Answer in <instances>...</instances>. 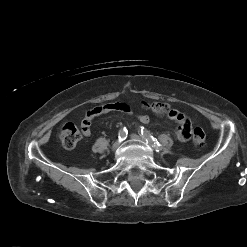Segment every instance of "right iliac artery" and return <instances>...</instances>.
Returning <instances> with one entry per match:
<instances>
[{
  "mask_svg": "<svg viewBox=\"0 0 247 247\" xmlns=\"http://www.w3.org/2000/svg\"><path fill=\"white\" fill-rule=\"evenodd\" d=\"M127 134H128L127 129H126L125 127L121 128V129L119 130V133H118V138H119V140H120V141L125 140L126 137H127Z\"/></svg>",
  "mask_w": 247,
  "mask_h": 247,
  "instance_id": "obj_1",
  "label": "right iliac artery"
}]
</instances>
